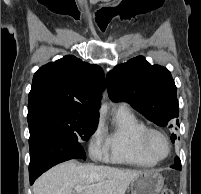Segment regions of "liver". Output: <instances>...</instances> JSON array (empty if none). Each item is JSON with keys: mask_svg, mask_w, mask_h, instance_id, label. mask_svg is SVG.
Wrapping results in <instances>:
<instances>
[{"mask_svg": "<svg viewBox=\"0 0 201 194\" xmlns=\"http://www.w3.org/2000/svg\"><path fill=\"white\" fill-rule=\"evenodd\" d=\"M141 173L68 161L41 175L34 183L33 194H73L76 186L84 187L78 194H125L131 181Z\"/></svg>", "mask_w": 201, "mask_h": 194, "instance_id": "liver-1", "label": "liver"}]
</instances>
